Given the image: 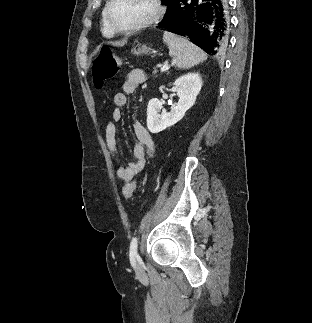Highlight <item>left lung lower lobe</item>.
<instances>
[{
	"label": "left lung lower lobe",
	"mask_w": 312,
	"mask_h": 323,
	"mask_svg": "<svg viewBox=\"0 0 312 323\" xmlns=\"http://www.w3.org/2000/svg\"><path fill=\"white\" fill-rule=\"evenodd\" d=\"M226 0H179L173 16L158 27L188 38L210 55H224L229 47Z\"/></svg>",
	"instance_id": "0a47b994"
}]
</instances>
